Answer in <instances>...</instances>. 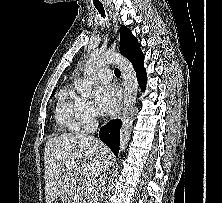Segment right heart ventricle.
<instances>
[{
  "label": "right heart ventricle",
  "mask_w": 222,
  "mask_h": 203,
  "mask_svg": "<svg viewBox=\"0 0 222 203\" xmlns=\"http://www.w3.org/2000/svg\"><path fill=\"white\" fill-rule=\"evenodd\" d=\"M55 117L58 124L68 131H78L80 129L74 103L70 100L68 90H63L59 96Z\"/></svg>",
  "instance_id": "obj_1"
}]
</instances>
